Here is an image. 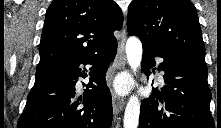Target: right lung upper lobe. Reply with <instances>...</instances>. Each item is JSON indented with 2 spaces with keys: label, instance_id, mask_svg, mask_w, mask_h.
<instances>
[{
  "label": "right lung upper lobe",
  "instance_id": "cb5924a9",
  "mask_svg": "<svg viewBox=\"0 0 221 128\" xmlns=\"http://www.w3.org/2000/svg\"><path fill=\"white\" fill-rule=\"evenodd\" d=\"M123 15L113 0H54L48 7L37 71L75 56H89L116 41Z\"/></svg>",
  "mask_w": 221,
  "mask_h": 128
}]
</instances>
